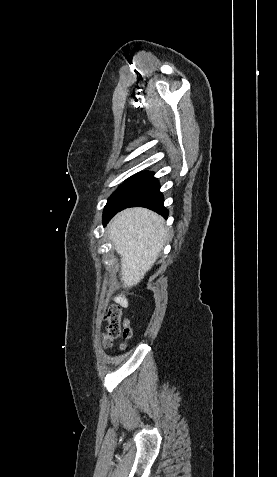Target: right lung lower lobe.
<instances>
[{
    "label": "right lung lower lobe",
    "mask_w": 277,
    "mask_h": 477,
    "mask_svg": "<svg viewBox=\"0 0 277 477\" xmlns=\"http://www.w3.org/2000/svg\"><path fill=\"white\" fill-rule=\"evenodd\" d=\"M163 194L160 192V186L157 179L141 194L135 201H133L128 207H146L149 208L163 217H168V210L164 207Z\"/></svg>",
    "instance_id": "right-lung-lower-lobe-1"
}]
</instances>
